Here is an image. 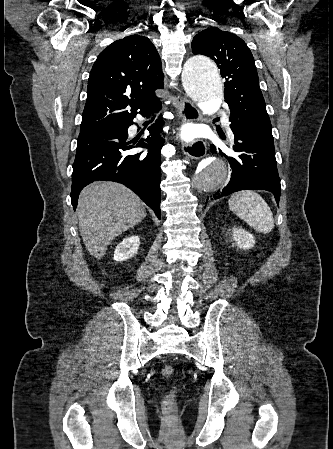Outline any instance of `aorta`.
Here are the masks:
<instances>
[{"instance_id": "aorta-1", "label": "aorta", "mask_w": 333, "mask_h": 449, "mask_svg": "<svg viewBox=\"0 0 333 449\" xmlns=\"http://www.w3.org/2000/svg\"><path fill=\"white\" fill-rule=\"evenodd\" d=\"M182 84L187 95L199 105L214 106L223 100L218 68L207 56L194 55L185 62ZM227 178V161L219 155L200 160L189 175L191 188L201 193L220 190Z\"/></svg>"}]
</instances>
